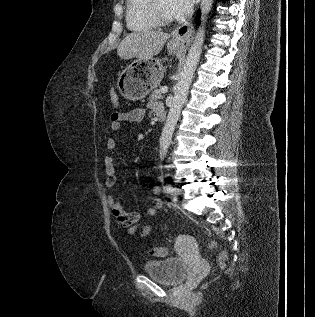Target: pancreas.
Listing matches in <instances>:
<instances>
[{
    "label": "pancreas",
    "instance_id": "cf45deb5",
    "mask_svg": "<svg viewBox=\"0 0 315 317\" xmlns=\"http://www.w3.org/2000/svg\"><path fill=\"white\" fill-rule=\"evenodd\" d=\"M162 92L160 89H154V91L152 92L150 99L151 100H157V99H162Z\"/></svg>",
    "mask_w": 315,
    "mask_h": 317
}]
</instances>
